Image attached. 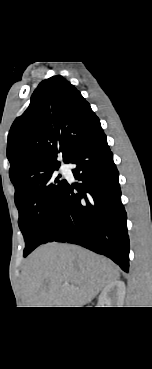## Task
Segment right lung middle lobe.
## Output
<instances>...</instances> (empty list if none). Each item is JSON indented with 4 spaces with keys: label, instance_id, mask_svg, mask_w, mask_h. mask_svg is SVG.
<instances>
[{
    "label": "right lung middle lobe",
    "instance_id": "obj_1",
    "mask_svg": "<svg viewBox=\"0 0 152 369\" xmlns=\"http://www.w3.org/2000/svg\"><path fill=\"white\" fill-rule=\"evenodd\" d=\"M56 166L36 177L18 196L15 203L19 211V227L25 240L24 257L43 244L51 231L66 180L54 174Z\"/></svg>",
    "mask_w": 152,
    "mask_h": 369
}]
</instances>
